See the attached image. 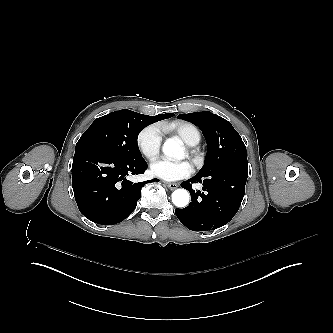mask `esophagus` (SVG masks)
I'll return each mask as SVG.
<instances>
[{
	"label": "esophagus",
	"instance_id": "34e87169",
	"mask_svg": "<svg viewBox=\"0 0 333 333\" xmlns=\"http://www.w3.org/2000/svg\"><path fill=\"white\" fill-rule=\"evenodd\" d=\"M166 185L170 190H175L178 187L176 183H166Z\"/></svg>",
	"mask_w": 333,
	"mask_h": 333
}]
</instances>
